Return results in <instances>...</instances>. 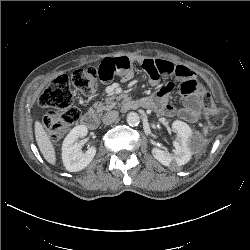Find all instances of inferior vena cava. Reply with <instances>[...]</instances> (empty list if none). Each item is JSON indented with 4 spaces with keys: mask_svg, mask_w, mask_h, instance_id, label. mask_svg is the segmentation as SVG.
<instances>
[{
    "mask_svg": "<svg viewBox=\"0 0 250 250\" xmlns=\"http://www.w3.org/2000/svg\"><path fill=\"white\" fill-rule=\"evenodd\" d=\"M118 115H119L118 111H115V110L108 111L102 117V122L105 125H110L117 119Z\"/></svg>",
    "mask_w": 250,
    "mask_h": 250,
    "instance_id": "obj_1",
    "label": "inferior vena cava"
}]
</instances>
